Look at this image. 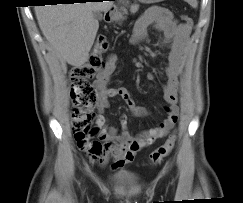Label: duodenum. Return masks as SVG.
Returning a JSON list of instances; mask_svg holds the SVG:
<instances>
[{
    "mask_svg": "<svg viewBox=\"0 0 243 203\" xmlns=\"http://www.w3.org/2000/svg\"><path fill=\"white\" fill-rule=\"evenodd\" d=\"M112 19H113V9L111 8L105 11L104 21L110 23L112 22Z\"/></svg>",
    "mask_w": 243,
    "mask_h": 203,
    "instance_id": "duodenum-1",
    "label": "duodenum"
}]
</instances>
